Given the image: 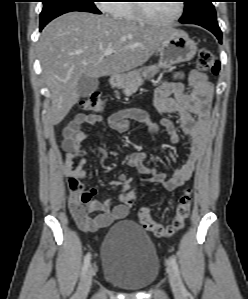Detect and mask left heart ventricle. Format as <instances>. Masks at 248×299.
<instances>
[{
  "label": "left heart ventricle",
  "mask_w": 248,
  "mask_h": 299,
  "mask_svg": "<svg viewBox=\"0 0 248 299\" xmlns=\"http://www.w3.org/2000/svg\"><path fill=\"white\" fill-rule=\"evenodd\" d=\"M178 4L176 1H158L146 3L147 12L158 19H168L176 15Z\"/></svg>",
  "instance_id": "1"
}]
</instances>
